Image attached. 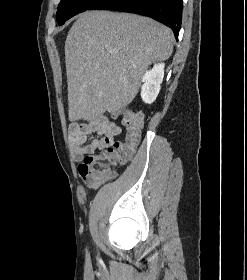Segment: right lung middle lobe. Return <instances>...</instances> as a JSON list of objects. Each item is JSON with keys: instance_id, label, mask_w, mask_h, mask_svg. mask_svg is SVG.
<instances>
[{"instance_id": "dd1d6c3e", "label": "right lung middle lobe", "mask_w": 247, "mask_h": 280, "mask_svg": "<svg viewBox=\"0 0 247 280\" xmlns=\"http://www.w3.org/2000/svg\"><path fill=\"white\" fill-rule=\"evenodd\" d=\"M99 0H61L57 10V22L63 25L66 20L90 9Z\"/></svg>"}]
</instances>
